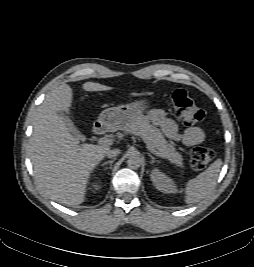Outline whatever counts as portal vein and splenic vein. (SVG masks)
Instances as JSON below:
<instances>
[{
  "mask_svg": "<svg viewBox=\"0 0 254 267\" xmlns=\"http://www.w3.org/2000/svg\"><path fill=\"white\" fill-rule=\"evenodd\" d=\"M98 143H99L100 145L109 146V145L112 144V140H111L110 138H107V137H102V138H100V139L98 140ZM146 148H147L150 152H152L153 154L158 155V152L156 151V149H155L153 146H151V145H149V144H146Z\"/></svg>",
  "mask_w": 254,
  "mask_h": 267,
  "instance_id": "obj_1",
  "label": "portal vein and splenic vein"
}]
</instances>
